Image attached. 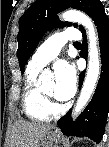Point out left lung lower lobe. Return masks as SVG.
<instances>
[{
    "instance_id": "left-lung-lower-lobe-1",
    "label": "left lung lower lobe",
    "mask_w": 109,
    "mask_h": 147,
    "mask_svg": "<svg viewBox=\"0 0 109 147\" xmlns=\"http://www.w3.org/2000/svg\"><path fill=\"white\" fill-rule=\"evenodd\" d=\"M90 17L94 20L98 30L102 63L101 76L92 100L76 122L72 123L71 111H69L57 122V125L68 136H86L99 143L104 134L106 118L109 112V19L102 4L96 7ZM81 32L83 33V44L87 46L84 28L81 29ZM81 56L86 59V52ZM84 75L85 72H82L79 76L80 87L83 83Z\"/></svg>"
}]
</instances>
